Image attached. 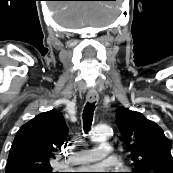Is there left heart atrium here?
<instances>
[{"instance_id": "left-heart-atrium-1", "label": "left heart atrium", "mask_w": 173, "mask_h": 173, "mask_svg": "<svg viewBox=\"0 0 173 173\" xmlns=\"http://www.w3.org/2000/svg\"><path fill=\"white\" fill-rule=\"evenodd\" d=\"M82 169L85 173H107L110 170L105 164L83 167Z\"/></svg>"}]
</instances>
